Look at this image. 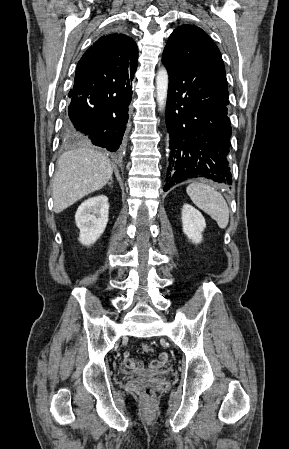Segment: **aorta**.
<instances>
[{
  "label": "aorta",
  "mask_w": 289,
  "mask_h": 449,
  "mask_svg": "<svg viewBox=\"0 0 289 449\" xmlns=\"http://www.w3.org/2000/svg\"><path fill=\"white\" fill-rule=\"evenodd\" d=\"M168 73L165 67H161L156 76V93L157 103L160 110L166 105V99L168 94Z\"/></svg>",
  "instance_id": "aorta-1"
}]
</instances>
